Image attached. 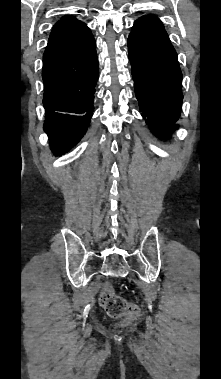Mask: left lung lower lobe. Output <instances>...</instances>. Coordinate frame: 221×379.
Instances as JSON below:
<instances>
[{"label":"left lung lower lobe","mask_w":221,"mask_h":379,"mask_svg":"<svg viewBox=\"0 0 221 379\" xmlns=\"http://www.w3.org/2000/svg\"><path fill=\"white\" fill-rule=\"evenodd\" d=\"M128 50L142 116L154 134L167 137L180 116L182 73L161 21L153 15L137 19Z\"/></svg>","instance_id":"obj_1"}]
</instances>
